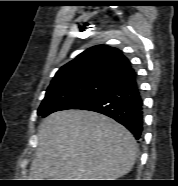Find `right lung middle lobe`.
<instances>
[{"instance_id":"1","label":"right lung middle lobe","mask_w":178,"mask_h":186,"mask_svg":"<svg viewBox=\"0 0 178 186\" xmlns=\"http://www.w3.org/2000/svg\"><path fill=\"white\" fill-rule=\"evenodd\" d=\"M108 86V84L103 83H90L46 92L38 109V115L46 117L56 111L77 109L99 95Z\"/></svg>"}]
</instances>
